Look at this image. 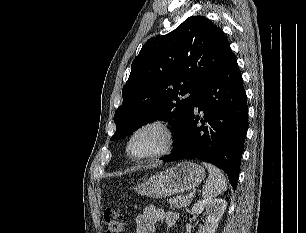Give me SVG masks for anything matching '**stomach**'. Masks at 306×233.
Wrapping results in <instances>:
<instances>
[{
  "instance_id": "1",
  "label": "stomach",
  "mask_w": 306,
  "mask_h": 233,
  "mask_svg": "<svg viewBox=\"0 0 306 233\" xmlns=\"http://www.w3.org/2000/svg\"><path fill=\"white\" fill-rule=\"evenodd\" d=\"M204 177L205 171L200 165L185 161L152 175L135 190L144 196L164 198L196 187Z\"/></svg>"
}]
</instances>
